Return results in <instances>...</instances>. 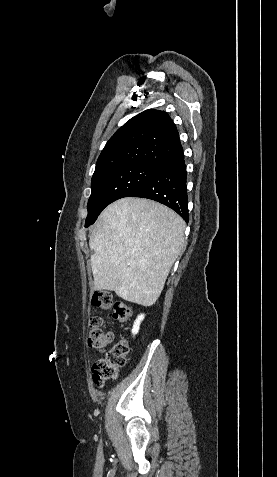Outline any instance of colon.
<instances>
[{"mask_svg":"<svg viewBox=\"0 0 277 477\" xmlns=\"http://www.w3.org/2000/svg\"><path fill=\"white\" fill-rule=\"evenodd\" d=\"M91 304L95 309L108 311L109 316L121 323L129 320L130 307L121 299L116 298L108 291L94 293ZM88 343L93 348L107 347L113 339L111 332L104 329V319L97 313L90 318ZM129 352V344L126 339L116 343L105 355L93 364L92 378L95 385L101 387L105 381L117 376L118 370L125 364Z\"/></svg>","mask_w":277,"mask_h":477,"instance_id":"1","label":"colon"}]
</instances>
